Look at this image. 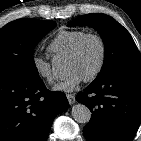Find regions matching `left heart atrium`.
I'll list each match as a JSON object with an SVG mask.
<instances>
[{
    "instance_id": "left-heart-atrium-1",
    "label": "left heart atrium",
    "mask_w": 141,
    "mask_h": 141,
    "mask_svg": "<svg viewBox=\"0 0 141 141\" xmlns=\"http://www.w3.org/2000/svg\"><path fill=\"white\" fill-rule=\"evenodd\" d=\"M84 78L76 71H71L68 75L55 87L54 90L71 92L77 88Z\"/></svg>"
}]
</instances>
